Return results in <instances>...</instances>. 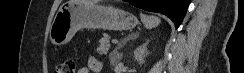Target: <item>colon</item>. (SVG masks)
I'll list each match as a JSON object with an SVG mask.
<instances>
[{
    "label": "colon",
    "mask_w": 244,
    "mask_h": 73,
    "mask_svg": "<svg viewBox=\"0 0 244 73\" xmlns=\"http://www.w3.org/2000/svg\"><path fill=\"white\" fill-rule=\"evenodd\" d=\"M76 60L68 58L59 63L55 69V73H75Z\"/></svg>",
    "instance_id": "1"
}]
</instances>
